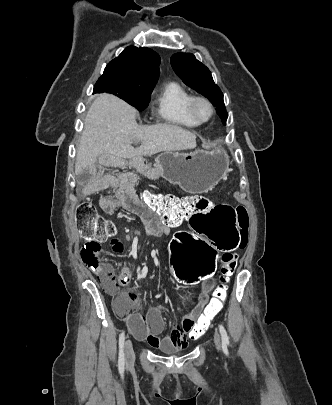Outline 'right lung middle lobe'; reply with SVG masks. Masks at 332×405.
Instances as JSON below:
<instances>
[{
	"label": "right lung middle lobe",
	"mask_w": 332,
	"mask_h": 405,
	"mask_svg": "<svg viewBox=\"0 0 332 405\" xmlns=\"http://www.w3.org/2000/svg\"><path fill=\"white\" fill-rule=\"evenodd\" d=\"M154 82H136L118 74H103L94 86L93 93H111L137 110H144L149 103Z\"/></svg>",
	"instance_id": "right-lung-middle-lobe-1"
}]
</instances>
